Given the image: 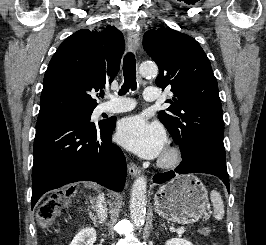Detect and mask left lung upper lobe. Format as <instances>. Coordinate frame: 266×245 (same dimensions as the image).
<instances>
[{
  "label": "left lung upper lobe",
  "mask_w": 266,
  "mask_h": 245,
  "mask_svg": "<svg viewBox=\"0 0 266 245\" xmlns=\"http://www.w3.org/2000/svg\"><path fill=\"white\" fill-rule=\"evenodd\" d=\"M143 47L159 67L157 86H171V106L158 114L181 154L190 152L194 139L223 141L224 122L217 80L199 43L171 28L145 33Z\"/></svg>",
  "instance_id": "1"
}]
</instances>
